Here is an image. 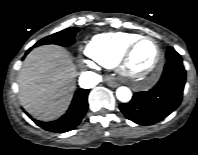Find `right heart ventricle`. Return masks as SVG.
<instances>
[{
	"label": "right heart ventricle",
	"instance_id": "right-heart-ventricle-1",
	"mask_svg": "<svg viewBox=\"0 0 198 155\" xmlns=\"http://www.w3.org/2000/svg\"><path fill=\"white\" fill-rule=\"evenodd\" d=\"M139 34L130 32H109L95 35L85 47L87 56L99 65L111 68L117 65V61L124 49Z\"/></svg>",
	"mask_w": 198,
	"mask_h": 155
}]
</instances>
